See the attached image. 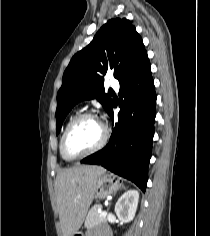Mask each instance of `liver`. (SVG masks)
<instances>
[{"label": "liver", "mask_w": 210, "mask_h": 236, "mask_svg": "<svg viewBox=\"0 0 210 236\" xmlns=\"http://www.w3.org/2000/svg\"><path fill=\"white\" fill-rule=\"evenodd\" d=\"M105 171L100 166L77 165L57 175L55 191L63 236H73L82 226L94 198L97 179Z\"/></svg>", "instance_id": "obj_1"}]
</instances>
